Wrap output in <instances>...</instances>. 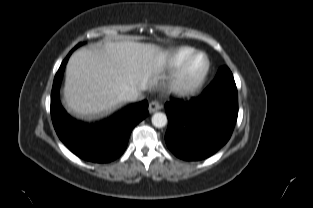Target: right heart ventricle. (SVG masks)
Returning a JSON list of instances; mask_svg holds the SVG:
<instances>
[{"mask_svg":"<svg viewBox=\"0 0 313 208\" xmlns=\"http://www.w3.org/2000/svg\"><path fill=\"white\" fill-rule=\"evenodd\" d=\"M194 49L191 47H176L167 51L163 57L166 68L170 70L177 69L191 54Z\"/></svg>","mask_w":313,"mask_h":208,"instance_id":"1","label":"right heart ventricle"}]
</instances>
